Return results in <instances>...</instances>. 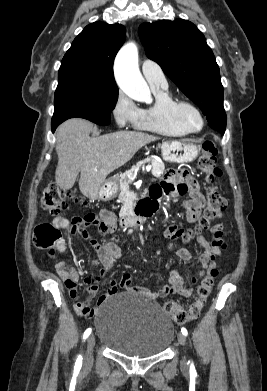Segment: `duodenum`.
Returning a JSON list of instances; mask_svg holds the SVG:
<instances>
[{"instance_id":"obj_1","label":"duodenum","mask_w":267,"mask_h":391,"mask_svg":"<svg viewBox=\"0 0 267 391\" xmlns=\"http://www.w3.org/2000/svg\"><path fill=\"white\" fill-rule=\"evenodd\" d=\"M155 209L153 202H145L135 210L128 211L120 218V226L124 229H138L144 225L147 216Z\"/></svg>"}]
</instances>
